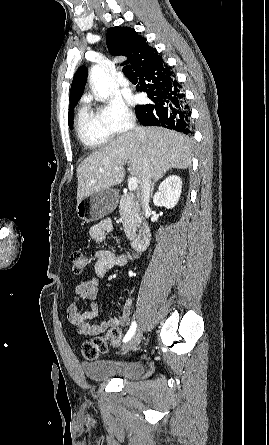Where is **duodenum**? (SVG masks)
Instances as JSON below:
<instances>
[{
	"label": "duodenum",
	"mask_w": 269,
	"mask_h": 445,
	"mask_svg": "<svg viewBox=\"0 0 269 445\" xmlns=\"http://www.w3.org/2000/svg\"><path fill=\"white\" fill-rule=\"evenodd\" d=\"M150 239H151V228L149 224L145 223L140 227L138 234L132 240V248L135 251L140 252L147 247Z\"/></svg>",
	"instance_id": "duodenum-1"
}]
</instances>
